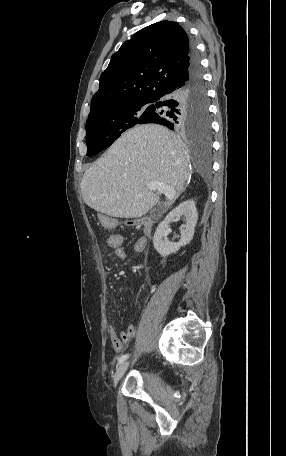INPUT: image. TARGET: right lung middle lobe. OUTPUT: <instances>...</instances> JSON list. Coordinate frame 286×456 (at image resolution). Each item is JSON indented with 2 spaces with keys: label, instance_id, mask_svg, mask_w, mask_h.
Instances as JSON below:
<instances>
[{
  "label": "right lung middle lobe",
  "instance_id": "right-lung-middle-lobe-1",
  "mask_svg": "<svg viewBox=\"0 0 286 456\" xmlns=\"http://www.w3.org/2000/svg\"><path fill=\"white\" fill-rule=\"evenodd\" d=\"M152 100H132L109 105L88 118L86 122L87 155L108 148L127 129L144 124L154 115ZM210 130L209 121L194 130Z\"/></svg>",
  "mask_w": 286,
  "mask_h": 456
}]
</instances>
